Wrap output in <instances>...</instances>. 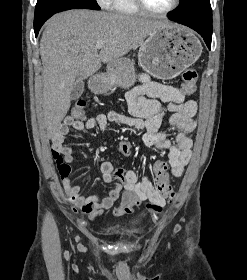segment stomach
Masks as SVG:
<instances>
[{
	"label": "stomach",
	"mask_w": 247,
	"mask_h": 280,
	"mask_svg": "<svg viewBox=\"0 0 247 280\" xmlns=\"http://www.w3.org/2000/svg\"><path fill=\"white\" fill-rule=\"evenodd\" d=\"M202 53V45L188 28L178 25L161 27L140 44L139 65L158 79H172L194 64ZM136 80L134 63L119 58L108 65L107 74L90 82L95 93H104L114 86L131 87Z\"/></svg>",
	"instance_id": "0dacf381"
}]
</instances>
